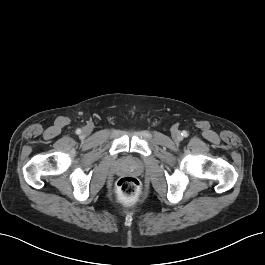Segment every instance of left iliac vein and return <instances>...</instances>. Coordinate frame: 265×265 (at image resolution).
Wrapping results in <instances>:
<instances>
[{
	"label": "left iliac vein",
	"instance_id": "4c4485c4",
	"mask_svg": "<svg viewBox=\"0 0 265 265\" xmlns=\"http://www.w3.org/2000/svg\"><path fill=\"white\" fill-rule=\"evenodd\" d=\"M173 138L176 140H180L181 139V134L179 131H174L172 134Z\"/></svg>",
	"mask_w": 265,
	"mask_h": 265
}]
</instances>
